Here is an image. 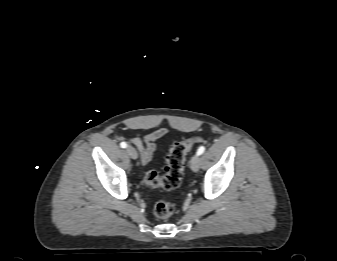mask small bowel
<instances>
[{
    "label": "small bowel",
    "instance_id": "c3829d8e",
    "mask_svg": "<svg viewBox=\"0 0 337 261\" xmlns=\"http://www.w3.org/2000/svg\"><path fill=\"white\" fill-rule=\"evenodd\" d=\"M167 135V130L164 128L158 129L144 138L133 137L132 143L137 147L142 163L147 164L157 151V141Z\"/></svg>",
    "mask_w": 337,
    "mask_h": 261
}]
</instances>
